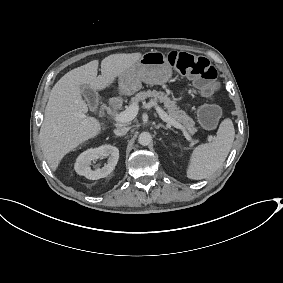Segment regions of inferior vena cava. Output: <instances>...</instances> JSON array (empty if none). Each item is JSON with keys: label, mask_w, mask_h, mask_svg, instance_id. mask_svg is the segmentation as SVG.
Masks as SVG:
<instances>
[{"label": "inferior vena cava", "mask_w": 283, "mask_h": 283, "mask_svg": "<svg viewBox=\"0 0 283 283\" xmlns=\"http://www.w3.org/2000/svg\"><path fill=\"white\" fill-rule=\"evenodd\" d=\"M128 131H129V127H121V128H116L114 130V133L117 136H123L126 135Z\"/></svg>", "instance_id": "inferior-vena-cava-1"}]
</instances>
